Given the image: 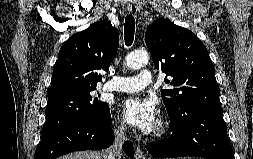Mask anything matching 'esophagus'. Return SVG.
I'll return each mask as SVG.
<instances>
[{
  "label": "esophagus",
  "instance_id": "34e87169",
  "mask_svg": "<svg viewBox=\"0 0 253 159\" xmlns=\"http://www.w3.org/2000/svg\"><path fill=\"white\" fill-rule=\"evenodd\" d=\"M127 10L131 15L136 17L138 14V10H139V5H138L137 1L130 0L127 3ZM136 159H147L144 151L139 146L136 147Z\"/></svg>",
  "mask_w": 253,
  "mask_h": 159
}]
</instances>
